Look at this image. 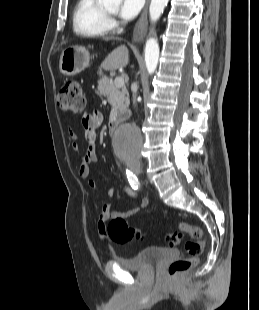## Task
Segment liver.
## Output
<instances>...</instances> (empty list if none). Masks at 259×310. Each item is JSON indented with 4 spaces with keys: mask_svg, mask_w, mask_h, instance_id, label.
<instances>
[{
    "mask_svg": "<svg viewBox=\"0 0 259 310\" xmlns=\"http://www.w3.org/2000/svg\"><path fill=\"white\" fill-rule=\"evenodd\" d=\"M129 63V51L125 45L114 49L102 63L104 69L116 70L127 66Z\"/></svg>",
    "mask_w": 259,
    "mask_h": 310,
    "instance_id": "1",
    "label": "liver"
}]
</instances>
